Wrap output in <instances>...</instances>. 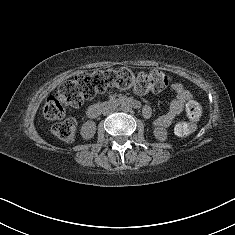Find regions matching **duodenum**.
Instances as JSON below:
<instances>
[{"label":"duodenum","mask_w":235,"mask_h":235,"mask_svg":"<svg viewBox=\"0 0 235 235\" xmlns=\"http://www.w3.org/2000/svg\"><path fill=\"white\" fill-rule=\"evenodd\" d=\"M130 104L136 108L140 107V103L134 99L131 98H119L116 100H112L109 101L107 103L104 104H94L91 105L88 108L87 114L90 118H96L97 116H99L101 114V112L107 108V107H111V106H116V105H121V104Z\"/></svg>","instance_id":"410a0bca"}]
</instances>
